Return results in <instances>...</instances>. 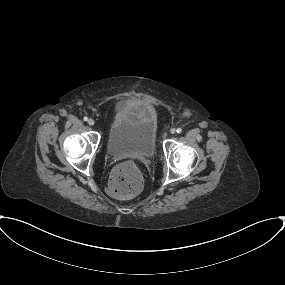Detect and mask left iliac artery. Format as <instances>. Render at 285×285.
I'll return each mask as SVG.
<instances>
[{
	"mask_svg": "<svg viewBox=\"0 0 285 285\" xmlns=\"http://www.w3.org/2000/svg\"><path fill=\"white\" fill-rule=\"evenodd\" d=\"M176 132H177V133H181V132H182V129H181V128H177Z\"/></svg>",
	"mask_w": 285,
	"mask_h": 285,
	"instance_id": "left-iliac-artery-1",
	"label": "left iliac artery"
}]
</instances>
